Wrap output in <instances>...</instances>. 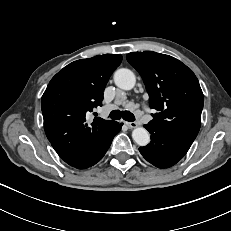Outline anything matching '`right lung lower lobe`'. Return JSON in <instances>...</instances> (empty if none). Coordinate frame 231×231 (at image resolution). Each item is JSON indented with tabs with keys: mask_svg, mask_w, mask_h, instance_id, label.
Here are the masks:
<instances>
[{
	"mask_svg": "<svg viewBox=\"0 0 231 231\" xmlns=\"http://www.w3.org/2000/svg\"><path fill=\"white\" fill-rule=\"evenodd\" d=\"M122 124L116 123L115 127L113 128V131L111 132L110 137L106 142L101 144L89 157V159L79 167V169H85L88 168L94 164H96L106 153L108 148L111 145V142L114 138V136L121 130Z\"/></svg>",
	"mask_w": 231,
	"mask_h": 231,
	"instance_id": "right-lung-lower-lobe-1",
	"label": "right lung lower lobe"
}]
</instances>
